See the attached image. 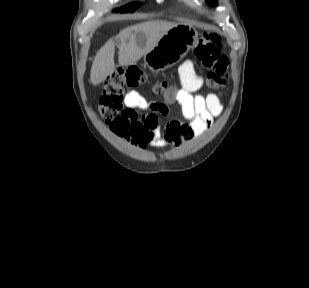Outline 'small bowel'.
Wrapping results in <instances>:
<instances>
[{
    "label": "small bowel",
    "instance_id": "obj_1",
    "mask_svg": "<svg viewBox=\"0 0 309 288\" xmlns=\"http://www.w3.org/2000/svg\"><path fill=\"white\" fill-rule=\"evenodd\" d=\"M182 89L176 93V101L181 107L184 122L172 120L163 130L159 127V115H167L168 106L163 102H148L137 91L125 96V105L132 110L128 119H119L111 123L112 132L134 147L161 148L166 145L179 146L198 138L211 128L213 120L223 110L218 96L209 93L196 94L202 87V78L195 75L192 62H183L178 69ZM136 110L147 113L138 117Z\"/></svg>",
    "mask_w": 309,
    "mask_h": 288
}]
</instances>
